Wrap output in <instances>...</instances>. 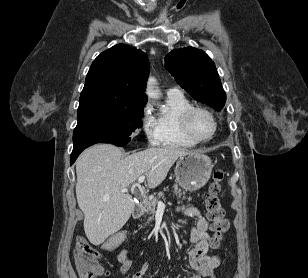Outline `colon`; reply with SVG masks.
Wrapping results in <instances>:
<instances>
[{
  "instance_id": "5ec220e1",
  "label": "colon",
  "mask_w": 308,
  "mask_h": 278,
  "mask_svg": "<svg viewBox=\"0 0 308 278\" xmlns=\"http://www.w3.org/2000/svg\"><path fill=\"white\" fill-rule=\"evenodd\" d=\"M223 179V171H215L213 174V182L205 197L207 215L212 222L211 227L214 232V237L211 240V247L213 249H219L222 246L225 233L229 228V223L225 219L224 209L219 199ZM126 235L127 232L125 230H121L116 235H109V240H103L102 249L113 253L118 243L124 242ZM74 258L80 278H97L102 274L104 267L99 262V252L83 236L76 238Z\"/></svg>"
}]
</instances>
